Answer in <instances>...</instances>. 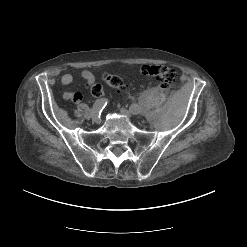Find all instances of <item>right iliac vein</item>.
I'll use <instances>...</instances> for the list:
<instances>
[{"instance_id":"1","label":"right iliac vein","mask_w":247,"mask_h":247,"mask_svg":"<svg viewBox=\"0 0 247 247\" xmlns=\"http://www.w3.org/2000/svg\"><path fill=\"white\" fill-rule=\"evenodd\" d=\"M91 118L94 122L98 123L99 119L96 113H94L93 111L90 112Z\"/></svg>"}]
</instances>
